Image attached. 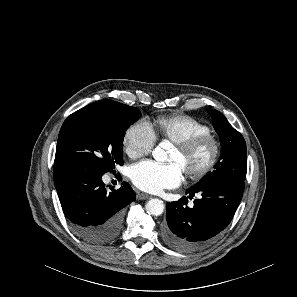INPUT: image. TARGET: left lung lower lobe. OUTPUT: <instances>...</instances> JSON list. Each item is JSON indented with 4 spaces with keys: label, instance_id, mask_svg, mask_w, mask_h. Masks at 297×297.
Masks as SVG:
<instances>
[{
    "label": "left lung lower lobe",
    "instance_id": "left-lung-lower-lobe-1",
    "mask_svg": "<svg viewBox=\"0 0 297 297\" xmlns=\"http://www.w3.org/2000/svg\"><path fill=\"white\" fill-rule=\"evenodd\" d=\"M244 183L215 181L187 190L189 198L195 193L202 197L187 206L188 199L167 203L166 220L162 227L164 242L179 251H195L205 246L232 220L241 201Z\"/></svg>",
    "mask_w": 297,
    "mask_h": 297
}]
</instances>
